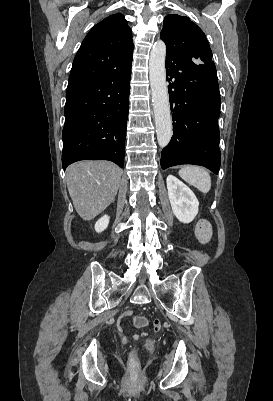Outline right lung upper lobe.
Returning a JSON list of instances; mask_svg holds the SVG:
<instances>
[{
	"label": "right lung upper lobe",
	"mask_w": 273,
	"mask_h": 401,
	"mask_svg": "<svg viewBox=\"0 0 273 401\" xmlns=\"http://www.w3.org/2000/svg\"><path fill=\"white\" fill-rule=\"evenodd\" d=\"M132 55V32L124 16H108L83 40L73 61L67 91L100 79L115 66L132 61Z\"/></svg>",
	"instance_id": "cb5924a9"
}]
</instances>
